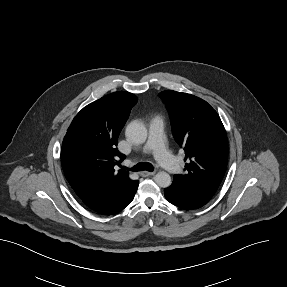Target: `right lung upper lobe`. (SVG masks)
<instances>
[{"instance_id": "right-lung-upper-lobe-1", "label": "right lung upper lobe", "mask_w": 287, "mask_h": 287, "mask_svg": "<svg viewBox=\"0 0 287 287\" xmlns=\"http://www.w3.org/2000/svg\"><path fill=\"white\" fill-rule=\"evenodd\" d=\"M137 97L126 91L106 95L84 107L72 121L62 144L61 161L72 189L82 196L132 180L115 172L125 158L116 148Z\"/></svg>"}]
</instances>
